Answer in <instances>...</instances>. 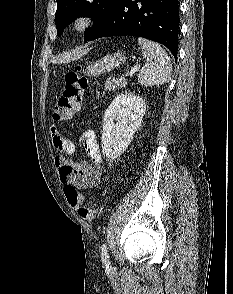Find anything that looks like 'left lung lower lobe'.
Masks as SVG:
<instances>
[{
	"mask_svg": "<svg viewBox=\"0 0 233 294\" xmlns=\"http://www.w3.org/2000/svg\"><path fill=\"white\" fill-rule=\"evenodd\" d=\"M178 0H115L88 41L109 36H138L165 45L176 58Z\"/></svg>",
	"mask_w": 233,
	"mask_h": 294,
	"instance_id": "1",
	"label": "left lung lower lobe"
}]
</instances>
